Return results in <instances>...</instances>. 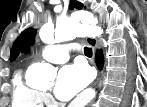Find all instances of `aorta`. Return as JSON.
I'll list each match as a JSON object with an SVG mask.
<instances>
[{
  "instance_id": "1",
  "label": "aorta",
  "mask_w": 147,
  "mask_h": 107,
  "mask_svg": "<svg viewBox=\"0 0 147 107\" xmlns=\"http://www.w3.org/2000/svg\"><path fill=\"white\" fill-rule=\"evenodd\" d=\"M102 29L89 22L87 18H74L69 21L57 22L55 28V41L63 42L76 37L100 36ZM40 38L43 41L48 39L46 29H41ZM56 76L55 68L48 63H35L29 68V84L35 86H49Z\"/></svg>"
}]
</instances>
